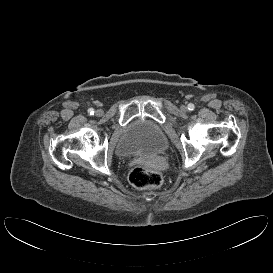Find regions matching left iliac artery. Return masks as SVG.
<instances>
[{
    "label": "left iliac artery",
    "instance_id": "1",
    "mask_svg": "<svg viewBox=\"0 0 273 273\" xmlns=\"http://www.w3.org/2000/svg\"><path fill=\"white\" fill-rule=\"evenodd\" d=\"M194 108H195L194 104H192V103L188 104V109L190 111L194 110Z\"/></svg>",
    "mask_w": 273,
    "mask_h": 273
}]
</instances>
